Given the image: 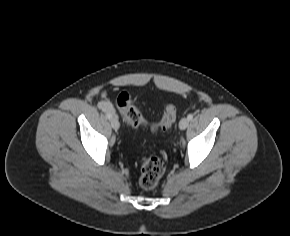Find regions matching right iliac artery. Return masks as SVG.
Here are the masks:
<instances>
[{
	"label": "right iliac artery",
	"mask_w": 290,
	"mask_h": 236,
	"mask_svg": "<svg viewBox=\"0 0 290 236\" xmlns=\"http://www.w3.org/2000/svg\"><path fill=\"white\" fill-rule=\"evenodd\" d=\"M106 116H107V118L111 119L113 115H112V113L107 112Z\"/></svg>",
	"instance_id": "right-iliac-artery-1"
}]
</instances>
